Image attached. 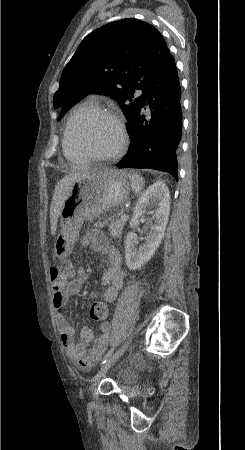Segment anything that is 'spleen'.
Returning a JSON list of instances; mask_svg holds the SVG:
<instances>
[{
    "label": "spleen",
    "instance_id": "1",
    "mask_svg": "<svg viewBox=\"0 0 245 450\" xmlns=\"http://www.w3.org/2000/svg\"><path fill=\"white\" fill-rule=\"evenodd\" d=\"M128 177L130 179L131 188H132L133 192L136 194H140L144 188L143 178L138 174H132V175L128 174Z\"/></svg>",
    "mask_w": 245,
    "mask_h": 450
}]
</instances>
